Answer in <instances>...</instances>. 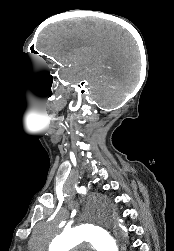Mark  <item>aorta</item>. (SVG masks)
<instances>
[{
    "label": "aorta",
    "mask_w": 174,
    "mask_h": 251,
    "mask_svg": "<svg viewBox=\"0 0 174 251\" xmlns=\"http://www.w3.org/2000/svg\"><path fill=\"white\" fill-rule=\"evenodd\" d=\"M126 231L121 225L113 227L109 219L98 213L94 204L85 212V220L79 226L63 231L49 245V251H69L81 243H89L97 251H119L124 244Z\"/></svg>",
    "instance_id": "obj_1"
}]
</instances>
